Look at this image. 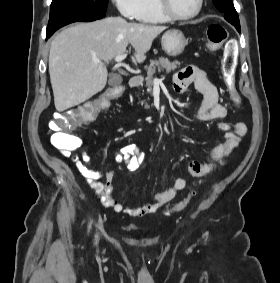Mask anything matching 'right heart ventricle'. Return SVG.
Returning a JSON list of instances; mask_svg holds the SVG:
<instances>
[{
	"label": "right heart ventricle",
	"instance_id": "obj_1",
	"mask_svg": "<svg viewBox=\"0 0 280 283\" xmlns=\"http://www.w3.org/2000/svg\"><path fill=\"white\" fill-rule=\"evenodd\" d=\"M137 20L145 24H158L169 19L161 13L156 0H142V10Z\"/></svg>",
	"mask_w": 280,
	"mask_h": 283
}]
</instances>
